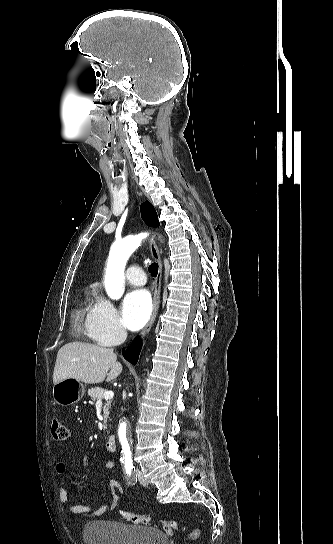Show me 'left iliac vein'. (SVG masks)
Masks as SVG:
<instances>
[{
	"instance_id": "left-iliac-vein-1",
	"label": "left iliac vein",
	"mask_w": 333,
	"mask_h": 544,
	"mask_svg": "<svg viewBox=\"0 0 333 544\" xmlns=\"http://www.w3.org/2000/svg\"><path fill=\"white\" fill-rule=\"evenodd\" d=\"M135 476L138 478L139 482H140L142 485H144V486L148 485L147 480L142 476V474H141L140 471H137V472L135 473Z\"/></svg>"
}]
</instances>
